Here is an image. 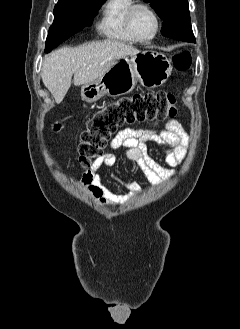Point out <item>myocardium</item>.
Segmentation results:
<instances>
[{
    "label": "myocardium",
    "instance_id": "myocardium-1",
    "mask_svg": "<svg viewBox=\"0 0 240 329\" xmlns=\"http://www.w3.org/2000/svg\"><path fill=\"white\" fill-rule=\"evenodd\" d=\"M147 9L152 16L154 17L155 20V30L154 32L149 36V37H140L137 35V33L135 32L134 28H133V18L134 15L136 13L137 10L139 9ZM161 28V19L160 16L157 12V10L149 3L146 2H138L135 3L128 11L127 16H126V29L129 33V35L138 42H148L151 41L152 39H154L156 37V35L158 34V32L160 31Z\"/></svg>",
    "mask_w": 240,
    "mask_h": 329
}]
</instances>
